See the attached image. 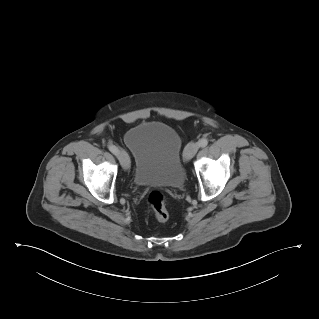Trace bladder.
Returning <instances> with one entry per match:
<instances>
[{"label":"bladder","instance_id":"bladder-1","mask_svg":"<svg viewBox=\"0 0 319 319\" xmlns=\"http://www.w3.org/2000/svg\"><path fill=\"white\" fill-rule=\"evenodd\" d=\"M124 144L134 158L133 181L138 186L180 188L186 178L181 137L162 122L130 128Z\"/></svg>","mask_w":319,"mask_h":319}]
</instances>
